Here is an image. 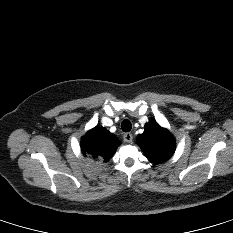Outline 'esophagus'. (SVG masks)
I'll return each instance as SVG.
<instances>
[{"label":"esophagus","mask_w":233,"mask_h":233,"mask_svg":"<svg viewBox=\"0 0 233 233\" xmlns=\"http://www.w3.org/2000/svg\"><path fill=\"white\" fill-rule=\"evenodd\" d=\"M123 139L126 143H132L133 141V135L131 133H125L123 135Z\"/></svg>","instance_id":"esophagus-1"}]
</instances>
